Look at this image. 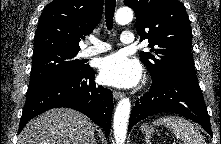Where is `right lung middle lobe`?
<instances>
[{
  "label": "right lung middle lobe",
  "instance_id": "dd1d6c3e",
  "mask_svg": "<svg viewBox=\"0 0 221 144\" xmlns=\"http://www.w3.org/2000/svg\"><path fill=\"white\" fill-rule=\"evenodd\" d=\"M78 52L46 50L34 53L29 86L53 75L83 71L86 65L76 59Z\"/></svg>",
  "mask_w": 221,
  "mask_h": 144
}]
</instances>
